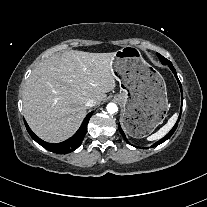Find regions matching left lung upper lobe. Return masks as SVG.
Segmentation results:
<instances>
[{
	"instance_id": "5c2ea615",
	"label": "left lung upper lobe",
	"mask_w": 207,
	"mask_h": 207,
	"mask_svg": "<svg viewBox=\"0 0 207 207\" xmlns=\"http://www.w3.org/2000/svg\"><path fill=\"white\" fill-rule=\"evenodd\" d=\"M157 56L159 57V59L161 60L162 63H166L168 62L169 60H167L166 58H164L162 55L160 54H157Z\"/></svg>"
}]
</instances>
